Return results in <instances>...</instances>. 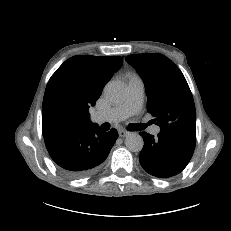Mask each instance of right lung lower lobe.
<instances>
[{"instance_id": "98d812e1", "label": "right lung lower lobe", "mask_w": 231, "mask_h": 231, "mask_svg": "<svg viewBox=\"0 0 231 231\" xmlns=\"http://www.w3.org/2000/svg\"><path fill=\"white\" fill-rule=\"evenodd\" d=\"M46 148L62 173L81 178L95 173L118 138L115 129L104 132L95 123L43 135Z\"/></svg>"}]
</instances>
